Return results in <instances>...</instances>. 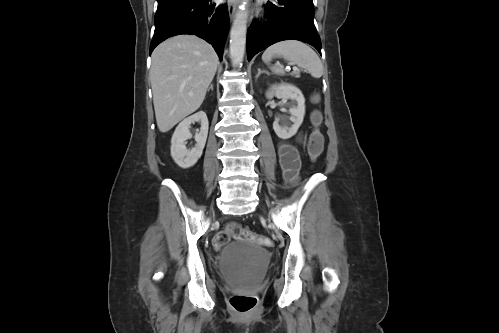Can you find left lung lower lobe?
Listing matches in <instances>:
<instances>
[{
    "mask_svg": "<svg viewBox=\"0 0 499 333\" xmlns=\"http://www.w3.org/2000/svg\"><path fill=\"white\" fill-rule=\"evenodd\" d=\"M270 26H254L247 33L250 60L268 46L283 40H299L314 46L321 54V40L314 25L313 0H273L266 5Z\"/></svg>",
    "mask_w": 499,
    "mask_h": 333,
    "instance_id": "left-lung-lower-lobe-1",
    "label": "left lung lower lobe"
}]
</instances>
